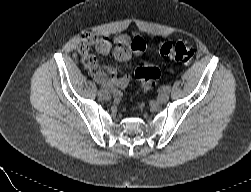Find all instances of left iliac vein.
Wrapping results in <instances>:
<instances>
[{"label":"left iliac vein","instance_id":"4c4485c4","mask_svg":"<svg viewBox=\"0 0 251 192\" xmlns=\"http://www.w3.org/2000/svg\"><path fill=\"white\" fill-rule=\"evenodd\" d=\"M169 100V93L166 91L161 92L158 95V102L159 103H166Z\"/></svg>","mask_w":251,"mask_h":192}]
</instances>
